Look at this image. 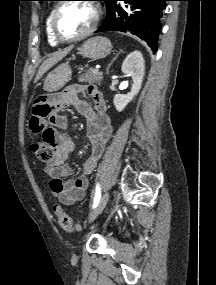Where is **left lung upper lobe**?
Here are the masks:
<instances>
[{"label": "left lung upper lobe", "mask_w": 216, "mask_h": 285, "mask_svg": "<svg viewBox=\"0 0 216 285\" xmlns=\"http://www.w3.org/2000/svg\"><path fill=\"white\" fill-rule=\"evenodd\" d=\"M38 1L42 2V1H46V0H38ZM101 1H104L106 3V6H107L111 0H101Z\"/></svg>", "instance_id": "left-lung-upper-lobe-1"}]
</instances>
